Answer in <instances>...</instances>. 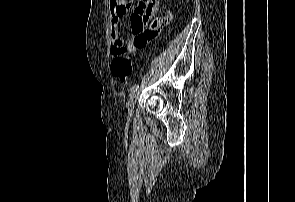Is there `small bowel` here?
<instances>
[{
    "label": "small bowel",
    "instance_id": "obj_1",
    "mask_svg": "<svg viewBox=\"0 0 295 202\" xmlns=\"http://www.w3.org/2000/svg\"><path fill=\"white\" fill-rule=\"evenodd\" d=\"M132 7V0H110L112 54L122 48L128 51L144 47L169 21L170 10L159 9L157 0H139L130 15L133 38L128 46L120 38V22Z\"/></svg>",
    "mask_w": 295,
    "mask_h": 202
}]
</instances>
